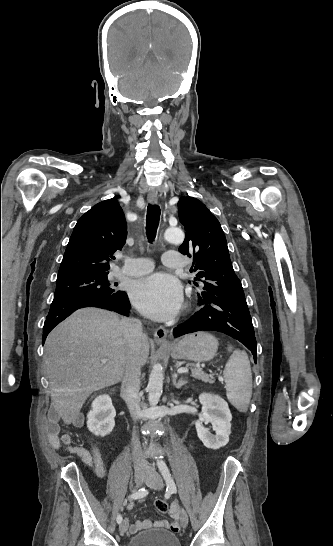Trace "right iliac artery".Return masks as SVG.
Instances as JSON below:
<instances>
[{
  "mask_svg": "<svg viewBox=\"0 0 333 546\" xmlns=\"http://www.w3.org/2000/svg\"><path fill=\"white\" fill-rule=\"evenodd\" d=\"M147 494H148V490L143 488V489H139L137 492L131 494L128 498L129 499H139V498H143ZM116 520H117V523L120 524L122 522V516L118 515Z\"/></svg>",
  "mask_w": 333,
  "mask_h": 546,
  "instance_id": "right-iliac-artery-1",
  "label": "right iliac artery"
}]
</instances>
